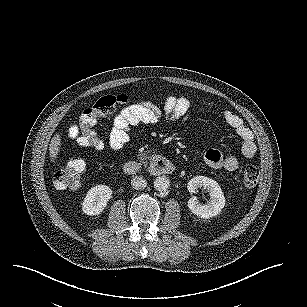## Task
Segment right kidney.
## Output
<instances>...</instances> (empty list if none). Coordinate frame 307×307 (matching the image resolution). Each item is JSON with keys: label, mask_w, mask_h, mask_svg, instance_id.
<instances>
[{"label": "right kidney", "mask_w": 307, "mask_h": 307, "mask_svg": "<svg viewBox=\"0 0 307 307\" xmlns=\"http://www.w3.org/2000/svg\"><path fill=\"white\" fill-rule=\"evenodd\" d=\"M111 194L112 190L105 185L93 187L84 198L83 212L88 215L100 214L111 198Z\"/></svg>", "instance_id": "ca27d5eb"}]
</instances>
